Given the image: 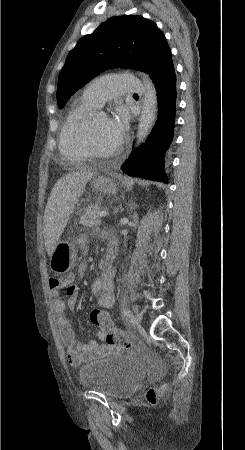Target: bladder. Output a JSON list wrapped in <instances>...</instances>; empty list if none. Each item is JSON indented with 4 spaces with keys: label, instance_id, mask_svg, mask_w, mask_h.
Masks as SVG:
<instances>
[{
    "label": "bladder",
    "instance_id": "1",
    "mask_svg": "<svg viewBox=\"0 0 245 450\" xmlns=\"http://www.w3.org/2000/svg\"><path fill=\"white\" fill-rule=\"evenodd\" d=\"M78 376L84 388L113 398L131 395L143 379L141 369L132 359L114 355L83 365Z\"/></svg>",
    "mask_w": 245,
    "mask_h": 450
}]
</instances>
